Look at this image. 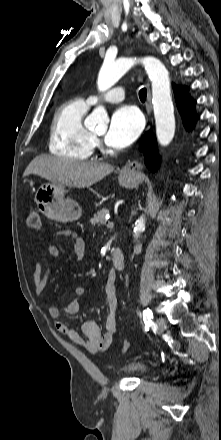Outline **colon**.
<instances>
[{
    "mask_svg": "<svg viewBox=\"0 0 221 440\" xmlns=\"http://www.w3.org/2000/svg\"><path fill=\"white\" fill-rule=\"evenodd\" d=\"M27 225L35 232H40L42 229L41 215L38 210H31L27 216ZM129 347L127 340L122 342V352H126Z\"/></svg>",
    "mask_w": 221,
    "mask_h": 440,
    "instance_id": "1",
    "label": "colon"
}]
</instances>
